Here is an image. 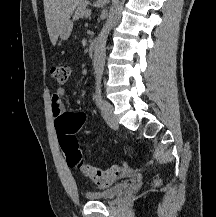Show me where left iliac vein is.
I'll list each match as a JSON object with an SVG mask.
<instances>
[{"label": "left iliac vein", "instance_id": "1", "mask_svg": "<svg viewBox=\"0 0 216 217\" xmlns=\"http://www.w3.org/2000/svg\"><path fill=\"white\" fill-rule=\"evenodd\" d=\"M101 113L106 123L113 129L118 128V120L114 114V108L108 101H103L101 104Z\"/></svg>", "mask_w": 216, "mask_h": 217}]
</instances>
